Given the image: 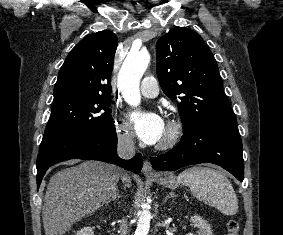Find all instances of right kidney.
Instances as JSON below:
<instances>
[{
	"label": "right kidney",
	"mask_w": 283,
	"mask_h": 235,
	"mask_svg": "<svg viewBox=\"0 0 283 235\" xmlns=\"http://www.w3.org/2000/svg\"><path fill=\"white\" fill-rule=\"evenodd\" d=\"M76 235H94V231L91 227H84Z\"/></svg>",
	"instance_id": "1"
}]
</instances>
